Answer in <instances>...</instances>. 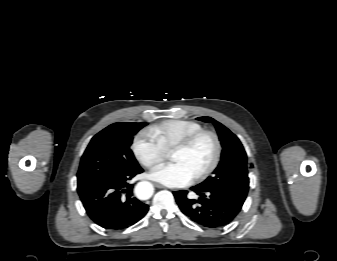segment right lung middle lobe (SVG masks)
Here are the masks:
<instances>
[{"label": "right lung middle lobe", "instance_id": "dd1d6c3e", "mask_svg": "<svg viewBox=\"0 0 337 261\" xmlns=\"http://www.w3.org/2000/svg\"><path fill=\"white\" fill-rule=\"evenodd\" d=\"M147 123H114L90 141L77 174L78 192L140 168L130 148L133 136Z\"/></svg>", "mask_w": 337, "mask_h": 261}]
</instances>
